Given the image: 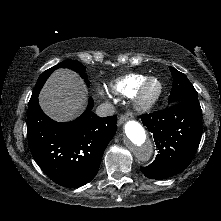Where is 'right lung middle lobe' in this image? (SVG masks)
Instances as JSON below:
<instances>
[{"label":"right lung middle lobe","instance_id":"right-lung-middle-lobe-1","mask_svg":"<svg viewBox=\"0 0 221 221\" xmlns=\"http://www.w3.org/2000/svg\"><path fill=\"white\" fill-rule=\"evenodd\" d=\"M60 67H65V68H70L73 71L77 72V73H81V76L84 78L86 76V74L84 73L86 71V67L84 65H82L81 63H79L78 61L75 60H66L63 61L59 64H57L56 66L46 70L45 72H43L40 76L39 79L35 85L34 91L32 93L36 94L38 91L41 90V88L43 87L45 81L47 80V78L49 77V75L57 68ZM87 84H89V82L86 80Z\"/></svg>","mask_w":221,"mask_h":221}]
</instances>
